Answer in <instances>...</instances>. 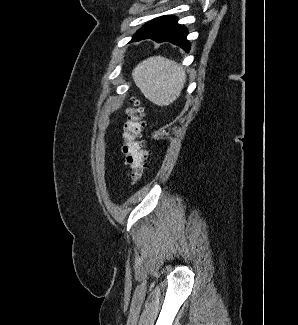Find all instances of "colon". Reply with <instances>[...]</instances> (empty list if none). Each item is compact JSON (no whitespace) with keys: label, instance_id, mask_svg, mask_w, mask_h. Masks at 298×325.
I'll use <instances>...</instances> for the list:
<instances>
[{"label":"colon","instance_id":"1","mask_svg":"<svg viewBox=\"0 0 298 325\" xmlns=\"http://www.w3.org/2000/svg\"><path fill=\"white\" fill-rule=\"evenodd\" d=\"M131 103L132 107L127 109V120L123 125L121 151L129 169V178L132 182H136L148 167V153L144 148L143 141L140 140L143 123L138 100L132 99Z\"/></svg>","mask_w":298,"mask_h":325}]
</instances>
